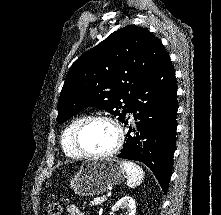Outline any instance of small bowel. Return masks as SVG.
I'll return each instance as SVG.
<instances>
[{
  "instance_id": "small-bowel-1",
  "label": "small bowel",
  "mask_w": 221,
  "mask_h": 215,
  "mask_svg": "<svg viewBox=\"0 0 221 215\" xmlns=\"http://www.w3.org/2000/svg\"><path fill=\"white\" fill-rule=\"evenodd\" d=\"M67 212L69 215H85L76 205L70 204L67 206Z\"/></svg>"
}]
</instances>
